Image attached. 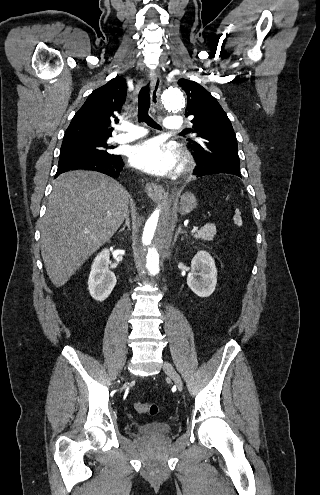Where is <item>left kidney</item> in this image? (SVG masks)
Instances as JSON below:
<instances>
[{
    "instance_id": "1",
    "label": "left kidney",
    "mask_w": 320,
    "mask_h": 495,
    "mask_svg": "<svg viewBox=\"0 0 320 495\" xmlns=\"http://www.w3.org/2000/svg\"><path fill=\"white\" fill-rule=\"evenodd\" d=\"M217 284V268L214 259L206 251H199L191 261L187 277L188 287L199 297L210 296Z\"/></svg>"
}]
</instances>
